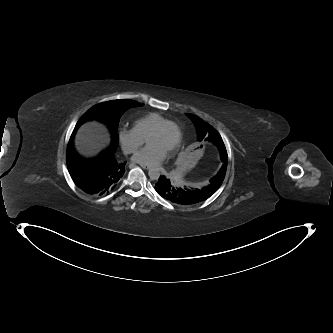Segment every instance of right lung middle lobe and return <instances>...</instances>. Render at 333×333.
<instances>
[{
  "mask_svg": "<svg viewBox=\"0 0 333 333\" xmlns=\"http://www.w3.org/2000/svg\"><path fill=\"white\" fill-rule=\"evenodd\" d=\"M141 105V103L129 99L112 100L95 105L80 118L74 132H76L81 124L88 120L96 119L104 121L111 127L113 131L114 140L112 146L116 147L118 141L117 128L120 117L129 108Z\"/></svg>",
  "mask_w": 333,
  "mask_h": 333,
  "instance_id": "dd1d6c3e",
  "label": "right lung middle lobe"
}]
</instances>
